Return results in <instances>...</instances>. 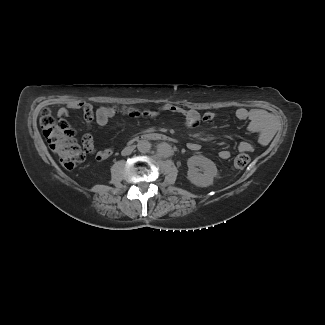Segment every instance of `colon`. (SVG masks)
I'll list each match as a JSON object with an SVG mask.
<instances>
[{
  "instance_id": "obj_1",
  "label": "colon",
  "mask_w": 325,
  "mask_h": 325,
  "mask_svg": "<svg viewBox=\"0 0 325 325\" xmlns=\"http://www.w3.org/2000/svg\"><path fill=\"white\" fill-rule=\"evenodd\" d=\"M123 112L131 116L138 115V111L134 108H123ZM40 123L51 150L58 156L63 167L73 169L84 161V150L75 139L64 135L58 126L57 120L48 110L42 112ZM249 163V155L242 152L234 158L233 167L235 169H244Z\"/></svg>"
}]
</instances>
